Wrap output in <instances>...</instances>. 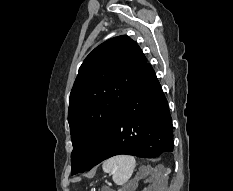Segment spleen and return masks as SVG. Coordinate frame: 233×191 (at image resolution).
<instances>
[{
	"label": "spleen",
	"instance_id": "1",
	"mask_svg": "<svg viewBox=\"0 0 233 191\" xmlns=\"http://www.w3.org/2000/svg\"><path fill=\"white\" fill-rule=\"evenodd\" d=\"M135 167V158L128 155L112 157L106 160L102 165L103 171L112 174L113 181L117 185H124L127 183Z\"/></svg>",
	"mask_w": 233,
	"mask_h": 191
}]
</instances>
